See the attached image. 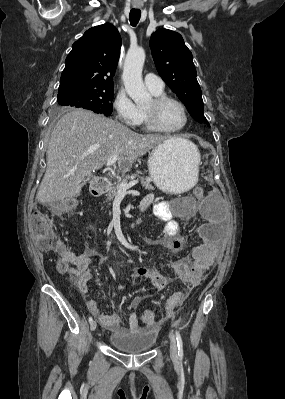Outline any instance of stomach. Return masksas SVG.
Instances as JSON below:
<instances>
[{
	"mask_svg": "<svg viewBox=\"0 0 285 399\" xmlns=\"http://www.w3.org/2000/svg\"><path fill=\"white\" fill-rule=\"evenodd\" d=\"M199 164L197 146L182 138L159 144L148 158L151 179L168 194H181L192 188L198 180Z\"/></svg>",
	"mask_w": 285,
	"mask_h": 399,
	"instance_id": "1",
	"label": "stomach"
}]
</instances>
